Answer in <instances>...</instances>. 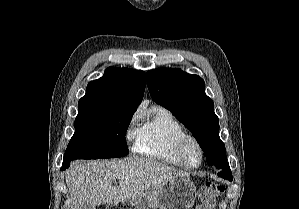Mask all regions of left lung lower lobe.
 <instances>
[{
  "label": "left lung lower lobe",
  "instance_id": "1",
  "mask_svg": "<svg viewBox=\"0 0 299 209\" xmlns=\"http://www.w3.org/2000/svg\"><path fill=\"white\" fill-rule=\"evenodd\" d=\"M219 177H222L224 179H227L229 181L233 180L232 174H231V170L229 167H226L224 169H222V171L220 173H218Z\"/></svg>",
  "mask_w": 299,
  "mask_h": 209
}]
</instances>
